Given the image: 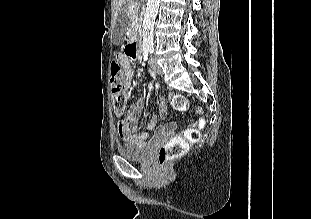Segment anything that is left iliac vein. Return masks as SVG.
Returning <instances> with one entry per match:
<instances>
[{"label":"left iliac vein","instance_id":"left-iliac-vein-1","mask_svg":"<svg viewBox=\"0 0 311 219\" xmlns=\"http://www.w3.org/2000/svg\"><path fill=\"white\" fill-rule=\"evenodd\" d=\"M150 66H151L154 73H156L158 75L163 74L161 67L158 65V63L156 62V59L154 57H152L150 59Z\"/></svg>","mask_w":311,"mask_h":219}]
</instances>
